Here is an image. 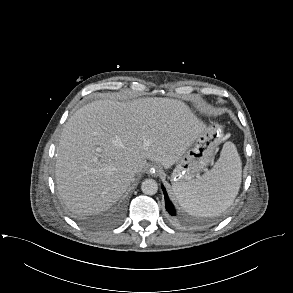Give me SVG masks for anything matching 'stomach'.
Returning a JSON list of instances; mask_svg holds the SVG:
<instances>
[{
  "label": "stomach",
  "instance_id": "0dacf381",
  "mask_svg": "<svg viewBox=\"0 0 293 293\" xmlns=\"http://www.w3.org/2000/svg\"><path fill=\"white\" fill-rule=\"evenodd\" d=\"M220 125L213 123L205 127L204 131L176 160L171 174L172 189L175 191L182 184L199 178L200 173L213 160L217 146L223 140Z\"/></svg>",
  "mask_w": 293,
  "mask_h": 293
}]
</instances>
